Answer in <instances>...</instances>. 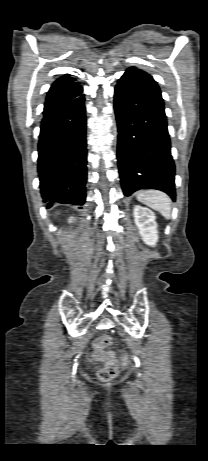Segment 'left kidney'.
<instances>
[{
	"instance_id": "obj_1",
	"label": "left kidney",
	"mask_w": 208,
	"mask_h": 461,
	"mask_svg": "<svg viewBox=\"0 0 208 461\" xmlns=\"http://www.w3.org/2000/svg\"><path fill=\"white\" fill-rule=\"evenodd\" d=\"M135 224L145 244L155 246L158 241L156 216L152 210L139 205L133 210Z\"/></svg>"
}]
</instances>
